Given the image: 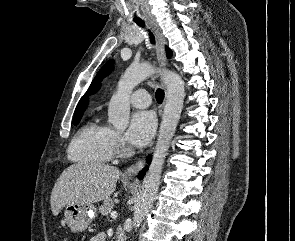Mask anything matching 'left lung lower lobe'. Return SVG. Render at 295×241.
<instances>
[{
    "instance_id": "0a47b994",
    "label": "left lung lower lobe",
    "mask_w": 295,
    "mask_h": 241,
    "mask_svg": "<svg viewBox=\"0 0 295 241\" xmlns=\"http://www.w3.org/2000/svg\"><path fill=\"white\" fill-rule=\"evenodd\" d=\"M147 162L150 163V158H148ZM143 176H144V172L141 171V172L138 174V177H139L140 179H142Z\"/></svg>"
}]
</instances>
